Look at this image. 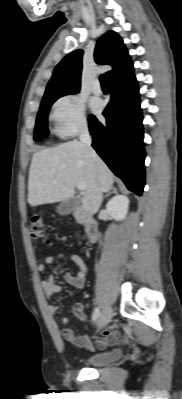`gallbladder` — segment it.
Here are the masks:
<instances>
[{
  "label": "gallbladder",
  "mask_w": 182,
  "mask_h": 399,
  "mask_svg": "<svg viewBox=\"0 0 182 399\" xmlns=\"http://www.w3.org/2000/svg\"><path fill=\"white\" fill-rule=\"evenodd\" d=\"M80 203L79 196H73L62 203H60L57 207V212L61 215L70 214Z\"/></svg>",
  "instance_id": "gallbladder-1"
}]
</instances>
